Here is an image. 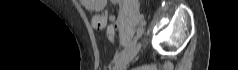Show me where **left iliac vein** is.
I'll return each instance as SVG.
<instances>
[{
	"label": "left iliac vein",
	"instance_id": "obj_1",
	"mask_svg": "<svg viewBox=\"0 0 238 70\" xmlns=\"http://www.w3.org/2000/svg\"><path fill=\"white\" fill-rule=\"evenodd\" d=\"M141 47V43H138L134 50L129 51L123 58H121L118 62H116L111 70H119L123 67H125L138 53L139 49Z\"/></svg>",
	"mask_w": 238,
	"mask_h": 70
}]
</instances>
